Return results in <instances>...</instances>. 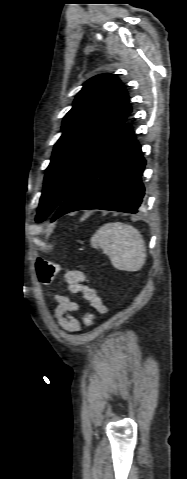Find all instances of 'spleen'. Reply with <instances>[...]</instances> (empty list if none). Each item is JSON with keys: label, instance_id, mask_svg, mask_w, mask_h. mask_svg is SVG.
I'll list each match as a JSON object with an SVG mask.
<instances>
[{"label": "spleen", "instance_id": "1", "mask_svg": "<svg viewBox=\"0 0 187 479\" xmlns=\"http://www.w3.org/2000/svg\"><path fill=\"white\" fill-rule=\"evenodd\" d=\"M90 242L93 248H101L118 270L135 272L145 264V242L141 233L129 224L107 223L94 233Z\"/></svg>", "mask_w": 187, "mask_h": 479}]
</instances>
